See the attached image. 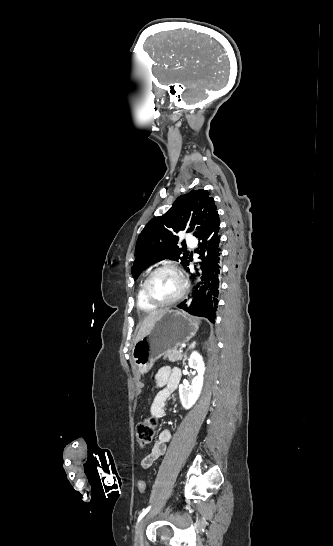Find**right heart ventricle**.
<instances>
[{
  "label": "right heart ventricle",
  "instance_id": "e07e8e85",
  "mask_svg": "<svg viewBox=\"0 0 333 546\" xmlns=\"http://www.w3.org/2000/svg\"><path fill=\"white\" fill-rule=\"evenodd\" d=\"M137 306L140 310L144 312H152L157 309V306L152 305L149 303L146 298L144 297L143 293V283H141L138 292H137Z\"/></svg>",
  "mask_w": 333,
  "mask_h": 546
}]
</instances>
